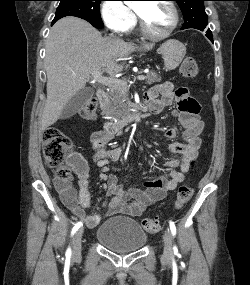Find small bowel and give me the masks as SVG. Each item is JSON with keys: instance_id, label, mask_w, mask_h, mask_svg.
I'll use <instances>...</instances> for the list:
<instances>
[{"instance_id": "obj_1", "label": "small bowel", "mask_w": 250, "mask_h": 285, "mask_svg": "<svg viewBox=\"0 0 250 285\" xmlns=\"http://www.w3.org/2000/svg\"><path fill=\"white\" fill-rule=\"evenodd\" d=\"M145 101L153 113H160L166 106L177 103L173 115L178 119L184 129V142H172L168 150L178 155L166 161L169 178L162 175L148 179L144 182V189L136 187L124 188L115 174H101V179L107 184V200L104 203L106 211L104 216L125 214L139 217L151 204L162 200L166 193L175 190L185 179L191 162L195 159L201 144L200 134L203 122L199 118V104L189 96L186 88L174 89L171 83L165 82L153 86L146 94ZM177 130L170 127L165 131L168 138L176 137ZM116 132L96 130L90 134L93 149V159L104 171L111 162L118 161L122 156L121 147L107 149L115 138ZM78 178L79 189L76 191L69 182L57 181L56 190L64 205L79 219L83 220L89 228L97 226L103 216L100 214H86L91 204L89 191V166L86 160L78 153H72L68 159Z\"/></svg>"}]
</instances>
